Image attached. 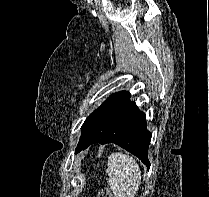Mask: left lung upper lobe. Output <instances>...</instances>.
<instances>
[{
  "mask_svg": "<svg viewBox=\"0 0 209 197\" xmlns=\"http://www.w3.org/2000/svg\"><path fill=\"white\" fill-rule=\"evenodd\" d=\"M125 92L121 91L118 93H115L111 95L109 98H107L101 106H99L93 113H91L85 122L83 123L81 130L82 135L87 131V129L95 122V120L99 117V115L117 98H119L121 95H123ZM81 135V136H82Z\"/></svg>",
  "mask_w": 209,
  "mask_h": 197,
  "instance_id": "5c2ea615",
  "label": "left lung upper lobe"
}]
</instances>
